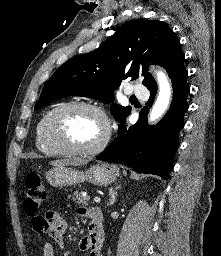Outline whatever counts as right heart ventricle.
<instances>
[{
	"label": "right heart ventricle",
	"instance_id": "e07e8e85",
	"mask_svg": "<svg viewBox=\"0 0 221 256\" xmlns=\"http://www.w3.org/2000/svg\"><path fill=\"white\" fill-rule=\"evenodd\" d=\"M50 112V111H49ZM48 112V113H49ZM47 113V114H48ZM45 114L40 120L39 122L37 123L36 125V129H35V145L37 147V149L47 155V156H57V155H60L62 154V152H60L58 149L48 145L44 139H43V136H42V127H43V121H44V118L46 117Z\"/></svg>",
	"mask_w": 221,
	"mask_h": 256
}]
</instances>
